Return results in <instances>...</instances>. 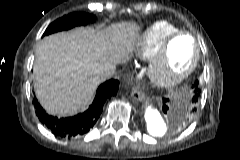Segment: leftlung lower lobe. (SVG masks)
Instances as JSON below:
<instances>
[{
	"mask_svg": "<svg viewBox=\"0 0 240 160\" xmlns=\"http://www.w3.org/2000/svg\"><path fill=\"white\" fill-rule=\"evenodd\" d=\"M199 96H200V92H199L198 86H195V95L193 96L190 108L187 111L188 115H191L192 113H194L196 111L195 104L197 103ZM168 102H169V99H166V98L163 99V111H164V113H167V110H168V104L167 103Z\"/></svg>",
	"mask_w": 240,
	"mask_h": 160,
	"instance_id": "1",
	"label": "left lung lower lobe"
}]
</instances>
